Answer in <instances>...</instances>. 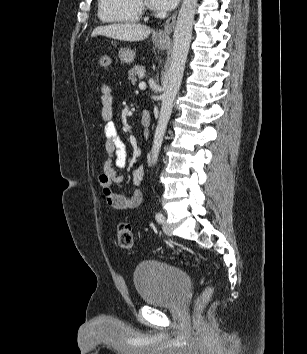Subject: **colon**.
<instances>
[{
	"label": "colon",
	"instance_id": "5ec220e1",
	"mask_svg": "<svg viewBox=\"0 0 307 354\" xmlns=\"http://www.w3.org/2000/svg\"><path fill=\"white\" fill-rule=\"evenodd\" d=\"M98 64L103 69H108L111 65V56L109 54H103L98 59ZM117 240L121 248L127 251H132L134 248V239L132 229L127 223H120L117 229ZM213 292L211 281L208 279L206 285L202 290L197 303V312L203 307V305L210 299Z\"/></svg>",
	"mask_w": 307,
	"mask_h": 354
}]
</instances>
